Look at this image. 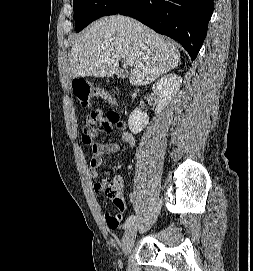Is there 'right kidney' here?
<instances>
[{"instance_id": "obj_1", "label": "right kidney", "mask_w": 253, "mask_h": 271, "mask_svg": "<svg viewBox=\"0 0 253 271\" xmlns=\"http://www.w3.org/2000/svg\"><path fill=\"white\" fill-rule=\"evenodd\" d=\"M181 84V76L168 74L153 85L152 90L158 97L157 113H160L175 97ZM148 123L149 119L147 115L140 108L134 109L128 119V126L133 134L140 133Z\"/></svg>"}]
</instances>
